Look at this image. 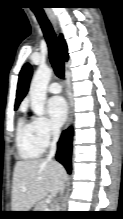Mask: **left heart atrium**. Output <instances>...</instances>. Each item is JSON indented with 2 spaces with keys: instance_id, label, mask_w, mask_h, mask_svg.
Returning <instances> with one entry per match:
<instances>
[{
  "instance_id": "39dd6f15",
  "label": "left heart atrium",
  "mask_w": 123,
  "mask_h": 219,
  "mask_svg": "<svg viewBox=\"0 0 123 219\" xmlns=\"http://www.w3.org/2000/svg\"><path fill=\"white\" fill-rule=\"evenodd\" d=\"M48 112L52 122L61 126L67 117V104L63 97L55 96L48 101Z\"/></svg>"
}]
</instances>
